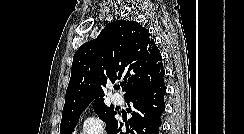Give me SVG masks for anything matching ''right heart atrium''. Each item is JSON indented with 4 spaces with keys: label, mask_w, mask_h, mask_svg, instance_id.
<instances>
[{
    "label": "right heart atrium",
    "mask_w": 244,
    "mask_h": 134,
    "mask_svg": "<svg viewBox=\"0 0 244 134\" xmlns=\"http://www.w3.org/2000/svg\"><path fill=\"white\" fill-rule=\"evenodd\" d=\"M77 134H106L105 123L98 115L87 116Z\"/></svg>",
    "instance_id": "1"
}]
</instances>
